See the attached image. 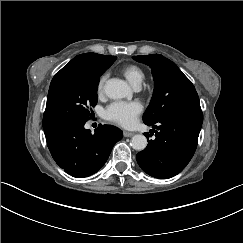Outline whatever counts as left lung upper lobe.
<instances>
[{"mask_svg": "<svg viewBox=\"0 0 243 243\" xmlns=\"http://www.w3.org/2000/svg\"><path fill=\"white\" fill-rule=\"evenodd\" d=\"M149 65L154 78V93L143 115L145 124L157 123L179 109L201 110L198 94L191 81L175 63L160 54L134 56Z\"/></svg>", "mask_w": 243, "mask_h": 243, "instance_id": "left-lung-upper-lobe-1", "label": "left lung upper lobe"}]
</instances>
